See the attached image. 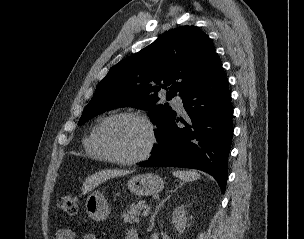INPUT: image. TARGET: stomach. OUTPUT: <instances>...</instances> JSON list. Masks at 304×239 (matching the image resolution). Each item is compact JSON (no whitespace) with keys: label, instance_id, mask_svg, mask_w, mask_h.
<instances>
[{"label":"stomach","instance_id":"1","mask_svg":"<svg viewBox=\"0 0 304 239\" xmlns=\"http://www.w3.org/2000/svg\"><path fill=\"white\" fill-rule=\"evenodd\" d=\"M127 186L130 192L136 195L148 196L160 192L164 182L160 176L147 173L133 176ZM85 208L88 216L96 221H103L110 214L107 200L100 191H94L87 197Z\"/></svg>","mask_w":304,"mask_h":239}]
</instances>
